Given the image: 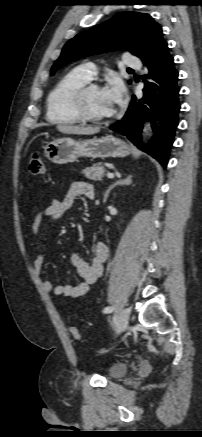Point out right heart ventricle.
Listing matches in <instances>:
<instances>
[{
  "label": "right heart ventricle",
  "mask_w": 202,
  "mask_h": 437,
  "mask_svg": "<svg viewBox=\"0 0 202 437\" xmlns=\"http://www.w3.org/2000/svg\"><path fill=\"white\" fill-rule=\"evenodd\" d=\"M80 68L66 73L48 94L46 100V117L53 124H76L80 119L75 114L71 97L83 83L89 81Z\"/></svg>",
  "instance_id": "1"
}]
</instances>
